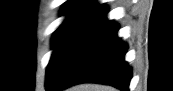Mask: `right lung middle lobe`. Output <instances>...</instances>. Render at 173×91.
Listing matches in <instances>:
<instances>
[{
    "label": "right lung middle lobe",
    "instance_id": "obj_1",
    "mask_svg": "<svg viewBox=\"0 0 173 91\" xmlns=\"http://www.w3.org/2000/svg\"><path fill=\"white\" fill-rule=\"evenodd\" d=\"M82 26L83 24L78 23H64L55 31L52 38L54 52L46 71V80L54 73L57 63Z\"/></svg>",
    "mask_w": 173,
    "mask_h": 91
}]
</instances>
